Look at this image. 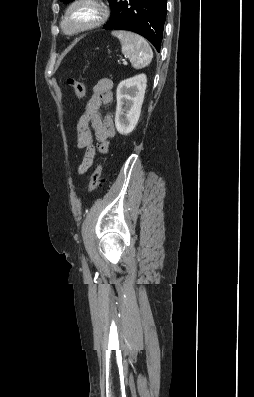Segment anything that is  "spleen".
<instances>
[{"mask_svg": "<svg viewBox=\"0 0 254 397\" xmlns=\"http://www.w3.org/2000/svg\"><path fill=\"white\" fill-rule=\"evenodd\" d=\"M111 34L120 40L122 53L129 58L134 68H143L150 64L153 52L148 42L130 31H112Z\"/></svg>", "mask_w": 254, "mask_h": 397, "instance_id": "spleen-1", "label": "spleen"}]
</instances>
